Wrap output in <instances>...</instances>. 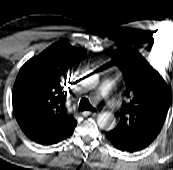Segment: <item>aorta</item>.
I'll use <instances>...</instances> for the list:
<instances>
[{
  "label": "aorta",
  "instance_id": "762f6f07",
  "mask_svg": "<svg viewBox=\"0 0 173 170\" xmlns=\"http://www.w3.org/2000/svg\"><path fill=\"white\" fill-rule=\"evenodd\" d=\"M99 82L97 75L87 78L84 82L85 86L88 88L95 87ZM97 124L100 128L104 130H112L116 125L115 116L111 112H104L99 114L97 118Z\"/></svg>",
  "mask_w": 173,
  "mask_h": 170
}]
</instances>
